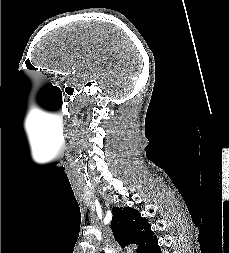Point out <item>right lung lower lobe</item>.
<instances>
[{
  "mask_svg": "<svg viewBox=\"0 0 229 253\" xmlns=\"http://www.w3.org/2000/svg\"><path fill=\"white\" fill-rule=\"evenodd\" d=\"M145 253H161L157 241L148 250H146Z\"/></svg>",
  "mask_w": 229,
  "mask_h": 253,
  "instance_id": "1",
  "label": "right lung lower lobe"
}]
</instances>
